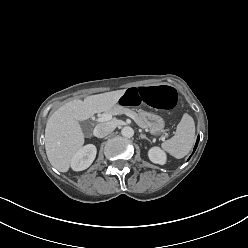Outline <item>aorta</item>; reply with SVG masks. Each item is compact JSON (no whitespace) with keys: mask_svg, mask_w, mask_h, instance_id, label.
<instances>
[{"mask_svg":"<svg viewBox=\"0 0 248 248\" xmlns=\"http://www.w3.org/2000/svg\"><path fill=\"white\" fill-rule=\"evenodd\" d=\"M121 134L124 137L130 138V137H132L134 135V130L129 126H125V127L122 128Z\"/></svg>","mask_w":248,"mask_h":248,"instance_id":"1","label":"aorta"}]
</instances>
